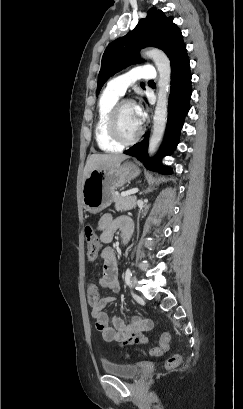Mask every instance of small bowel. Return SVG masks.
Masks as SVG:
<instances>
[{"label": "small bowel", "instance_id": "c3829d8e", "mask_svg": "<svg viewBox=\"0 0 243 409\" xmlns=\"http://www.w3.org/2000/svg\"><path fill=\"white\" fill-rule=\"evenodd\" d=\"M121 229L122 234L129 230L133 231L132 222L125 219H113L111 215H104L99 222L100 241L103 244L110 243L115 233ZM100 256L103 260V266L99 275L98 285L105 289H110L113 292L119 291L118 282V264L115 252L112 248L106 247L101 250ZM95 258H91L95 260ZM94 287V286H93ZM115 301L112 296H106L99 299L96 305H91L92 318L95 321L96 329L101 333L104 341H117L123 345L142 346L148 344V340L143 335V332L149 331L152 328V321L148 318L134 317L129 324L118 316L111 318V325L109 324V316L103 311L105 306Z\"/></svg>", "mask_w": 243, "mask_h": 409}]
</instances>
